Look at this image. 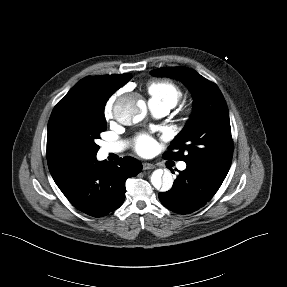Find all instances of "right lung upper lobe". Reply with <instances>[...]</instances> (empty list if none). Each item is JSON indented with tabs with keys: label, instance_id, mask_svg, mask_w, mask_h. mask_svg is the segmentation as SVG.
<instances>
[{
	"label": "right lung upper lobe",
	"instance_id": "obj_1",
	"mask_svg": "<svg viewBox=\"0 0 287 287\" xmlns=\"http://www.w3.org/2000/svg\"><path fill=\"white\" fill-rule=\"evenodd\" d=\"M131 77L132 76L130 74L86 77L79 81L54 107L48 122L47 162L49 171L58 187L63 186L68 179L84 164V162L74 161L62 155L55 148V119L61 105H63V103L70 98L85 95L91 92H102L111 96L112 93L126 84Z\"/></svg>",
	"mask_w": 287,
	"mask_h": 287
}]
</instances>
